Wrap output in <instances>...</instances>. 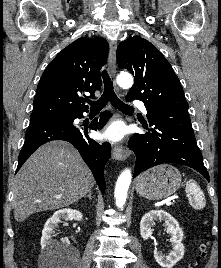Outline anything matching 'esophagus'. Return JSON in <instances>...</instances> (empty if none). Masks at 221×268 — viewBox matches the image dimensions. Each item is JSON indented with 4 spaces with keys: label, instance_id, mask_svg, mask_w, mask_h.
<instances>
[{
    "label": "esophagus",
    "instance_id": "esophagus-1",
    "mask_svg": "<svg viewBox=\"0 0 221 268\" xmlns=\"http://www.w3.org/2000/svg\"><path fill=\"white\" fill-rule=\"evenodd\" d=\"M116 50H117V43L116 41L110 42V53H109V65L112 77L114 79L116 73ZM115 83V81H114ZM116 85V84H115ZM128 150H126L122 145L117 144L114 146L112 150V158L115 160H123L127 157Z\"/></svg>",
    "mask_w": 221,
    "mask_h": 268
}]
</instances>
